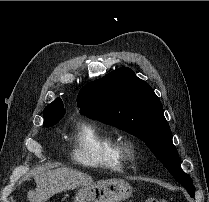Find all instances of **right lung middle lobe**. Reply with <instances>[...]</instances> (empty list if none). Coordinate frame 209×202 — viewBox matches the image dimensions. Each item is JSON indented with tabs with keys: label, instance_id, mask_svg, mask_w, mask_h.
Listing matches in <instances>:
<instances>
[{
	"label": "right lung middle lobe",
	"instance_id": "obj_1",
	"mask_svg": "<svg viewBox=\"0 0 209 202\" xmlns=\"http://www.w3.org/2000/svg\"><path fill=\"white\" fill-rule=\"evenodd\" d=\"M64 114H65L64 108H59V109L51 110L49 112H44V118L49 119L50 121L53 122L52 124L46 127H50L58 123L61 120V118L64 116Z\"/></svg>",
	"mask_w": 209,
	"mask_h": 202
}]
</instances>
